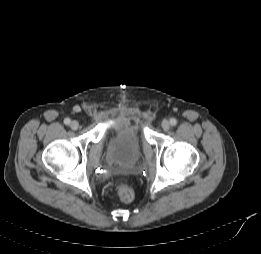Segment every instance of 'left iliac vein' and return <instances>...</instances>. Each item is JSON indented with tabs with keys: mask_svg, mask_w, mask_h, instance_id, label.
Returning <instances> with one entry per match:
<instances>
[{
	"mask_svg": "<svg viewBox=\"0 0 261 254\" xmlns=\"http://www.w3.org/2000/svg\"><path fill=\"white\" fill-rule=\"evenodd\" d=\"M161 127L165 131L169 130L171 127L170 122L168 120H163L161 123Z\"/></svg>",
	"mask_w": 261,
	"mask_h": 254,
	"instance_id": "obj_1",
	"label": "left iliac vein"
}]
</instances>
